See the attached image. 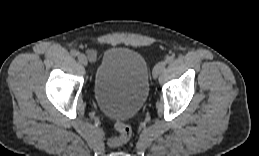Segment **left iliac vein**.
Here are the masks:
<instances>
[{
	"label": "left iliac vein",
	"mask_w": 259,
	"mask_h": 156,
	"mask_svg": "<svg viewBox=\"0 0 259 156\" xmlns=\"http://www.w3.org/2000/svg\"><path fill=\"white\" fill-rule=\"evenodd\" d=\"M165 67H166L165 61L158 62L153 69V73H152L153 78L156 79L160 75V73L165 69Z\"/></svg>",
	"instance_id": "obj_1"
}]
</instances>
